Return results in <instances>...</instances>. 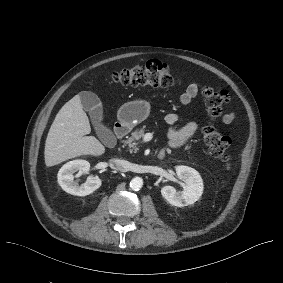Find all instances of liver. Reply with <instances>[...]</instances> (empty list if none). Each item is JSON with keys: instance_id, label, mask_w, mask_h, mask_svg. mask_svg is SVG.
<instances>
[{"instance_id": "1", "label": "liver", "mask_w": 283, "mask_h": 283, "mask_svg": "<svg viewBox=\"0 0 283 283\" xmlns=\"http://www.w3.org/2000/svg\"><path fill=\"white\" fill-rule=\"evenodd\" d=\"M90 132L80 95H75L59 110L49 129L44 151L46 166L81 155H102L105 147L94 136H85Z\"/></svg>"}]
</instances>
